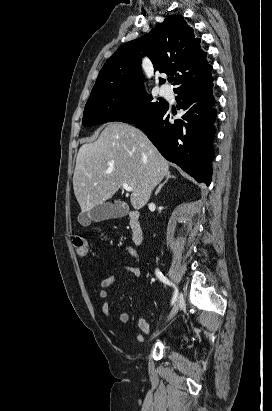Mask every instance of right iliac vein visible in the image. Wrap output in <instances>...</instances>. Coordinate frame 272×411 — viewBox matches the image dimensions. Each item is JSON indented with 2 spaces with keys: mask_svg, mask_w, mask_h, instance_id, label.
<instances>
[{
  "mask_svg": "<svg viewBox=\"0 0 272 411\" xmlns=\"http://www.w3.org/2000/svg\"><path fill=\"white\" fill-rule=\"evenodd\" d=\"M183 304H184L183 296L179 295L176 302H175V304H174V306H173V308H172V310H171V312H170L168 320H170L171 318H173L177 314V312L183 306Z\"/></svg>",
  "mask_w": 272,
  "mask_h": 411,
  "instance_id": "1",
  "label": "right iliac vein"
}]
</instances>
